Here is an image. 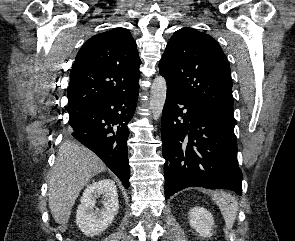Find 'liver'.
Segmentation results:
<instances>
[{"mask_svg": "<svg viewBox=\"0 0 295 241\" xmlns=\"http://www.w3.org/2000/svg\"><path fill=\"white\" fill-rule=\"evenodd\" d=\"M105 170V164L88 148L71 141L61 144L48 181V203L56 223L67 224L80 191Z\"/></svg>", "mask_w": 295, "mask_h": 241, "instance_id": "obj_1", "label": "liver"}]
</instances>
